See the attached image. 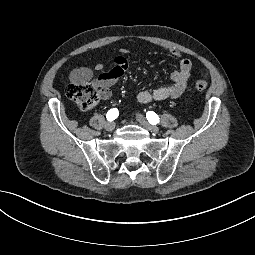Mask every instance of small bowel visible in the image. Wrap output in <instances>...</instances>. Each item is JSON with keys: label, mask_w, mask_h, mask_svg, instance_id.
<instances>
[{"label": "small bowel", "mask_w": 255, "mask_h": 255, "mask_svg": "<svg viewBox=\"0 0 255 255\" xmlns=\"http://www.w3.org/2000/svg\"><path fill=\"white\" fill-rule=\"evenodd\" d=\"M168 52L178 60V69L171 73L172 83L156 88L154 90H141L136 94V100L148 104L166 99L178 98L186 89L192 71V63L184 58L182 54L169 49ZM126 49H120L119 54L114 57L113 67L103 71L104 63L98 62L94 67H77L70 73L69 80L75 84L92 82L100 89L103 99L111 96V87L126 73L128 60L125 57Z\"/></svg>", "instance_id": "small-bowel-1"}]
</instances>
